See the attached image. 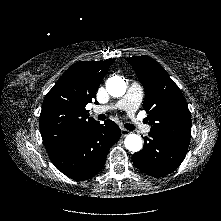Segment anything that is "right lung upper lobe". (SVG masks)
Returning <instances> with one entry per match:
<instances>
[{
	"label": "right lung upper lobe",
	"mask_w": 221,
	"mask_h": 221,
	"mask_svg": "<svg viewBox=\"0 0 221 221\" xmlns=\"http://www.w3.org/2000/svg\"><path fill=\"white\" fill-rule=\"evenodd\" d=\"M114 60L80 61L69 67L46 94L40 113V131L48 154L69 144L85 128L97 123L85 106Z\"/></svg>",
	"instance_id": "right-lung-upper-lobe-1"
}]
</instances>
